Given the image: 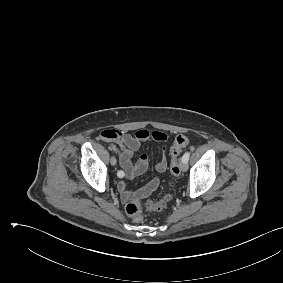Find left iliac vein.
Here are the masks:
<instances>
[{
  "label": "left iliac vein",
  "mask_w": 283,
  "mask_h": 283,
  "mask_svg": "<svg viewBox=\"0 0 283 283\" xmlns=\"http://www.w3.org/2000/svg\"><path fill=\"white\" fill-rule=\"evenodd\" d=\"M180 169L183 171V172H186L188 170V164L187 162H181L180 164Z\"/></svg>",
  "instance_id": "4c4485c4"
}]
</instances>
